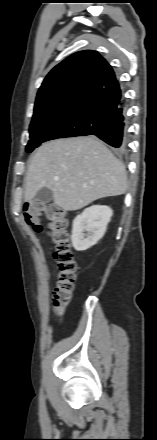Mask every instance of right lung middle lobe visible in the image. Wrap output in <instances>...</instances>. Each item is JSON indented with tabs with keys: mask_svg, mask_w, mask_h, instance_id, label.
<instances>
[{
	"mask_svg": "<svg viewBox=\"0 0 157 440\" xmlns=\"http://www.w3.org/2000/svg\"><path fill=\"white\" fill-rule=\"evenodd\" d=\"M86 135H89L87 125L79 121H34L30 124V140L26 146V151L30 153L45 141Z\"/></svg>",
	"mask_w": 157,
	"mask_h": 440,
	"instance_id": "dd1d6c3e",
	"label": "right lung middle lobe"
}]
</instances>
